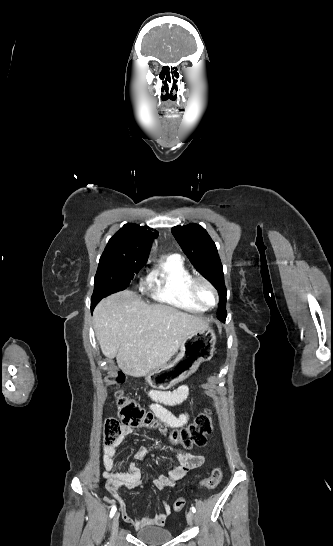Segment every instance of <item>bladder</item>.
<instances>
[{"label":"bladder","instance_id":"31cf9c89","mask_svg":"<svg viewBox=\"0 0 333 546\" xmlns=\"http://www.w3.org/2000/svg\"><path fill=\"white\" fill-rule=\"evenodd\" d=\"M135 535L141 542L153 546L165 544L172 539V533L168 529L157 526L141 528Z\"/></svg>","mask_w":333,"mask_h":546}]
</instances>
